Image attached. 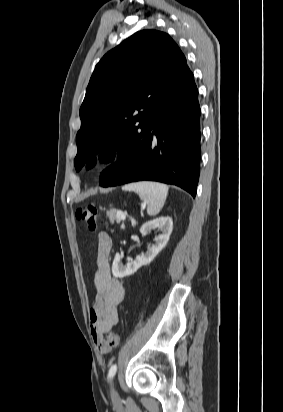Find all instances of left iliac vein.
Listing matches in <instances>:
<instances>
[{"label":"left iliac vein","instance_id":"1","mask_svg":"<svg viewBox=\"0 0 283 412\" xmlns=\"http://www.w3.org/2000/svg\"><path fill=\"white\" fill-rule=\"evenodd\" d=\"M110 395H111V399H112L113 401H118L119 395H118V392H117V390H116V388H115L114 381H112V383H111Z\"/></svg>","mask_w":283,"mask_h":412}]
</instances>
